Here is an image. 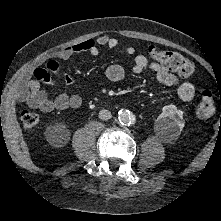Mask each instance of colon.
<instances>
[{
  "mask_svg": "<svg viewBox=\"0 0 221 221\" xmlns=\"http://www.w3.org/2000/svg\"><path fill=\"white\" fill-rule=\"evenodd\" d=\"M150 57L164 69L176 72L182 77H190L194 73V64L181 54L174 51L161 50L154 46L149 48ZM215 110V100L212 91L205 89L200 93L197 104V115L200 118H209ZM21 122L25 129L34 131L40 125V117L32 111L22 113Z\"/></svg>",
  "mask_w": 221,
  "mask_h": 221,
  "instance_id": "5ec220e1",
  "label": "colon"
}]
</instances>
